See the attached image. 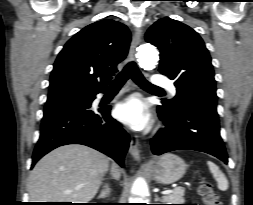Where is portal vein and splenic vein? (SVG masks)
<instances>
[{"label":"portal vein and splenic vein","mask_w":253,"mask_h":205,"mask_svg":"<svg viewBox=\"0 0 253 205\" xmlns=\"http://www.w3.org/2000/svg\"><path fill=\"white\" fill-rule=\"evenodd\" d=\"M173 191L174 190H165V191H162L161 194L166 195V194H169V193H171Z\"/></svg>","instance_id":"18ae733b"}]
</instances>
